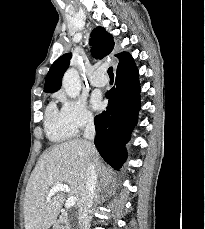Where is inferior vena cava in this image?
Instances as JSON below:
<instances>
[{
	"label": "inferior vena cava",
	"mask_w": 205,
	"mask_h": 229,
	"mask_svg": "<svg viewBox=\"0 0 205 229\" xmlns=\"http://www.w3.org/2000/svg\"><path fill=\"white\" fill-rule=\"evenodd\" d=\"M84 138L93 141L95 138V126L92 116L86 118V125L84 130ZM96 184H97V174L95 170V165L92 160H89L87 171H86V184L83 195L79 202V228L89 229L90 217L89 210L93 206L94 200L96 198Z\"/></svg>",
	"instance_id": "602c4592"
}]
</instances>
